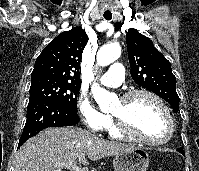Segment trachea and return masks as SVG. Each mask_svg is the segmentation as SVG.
<instances>
[{
	"label": "trachea",
	"mask_w": 199,
	"mask_h": 171,
	"mask_svg": "<svg viewBox=\"0 0 199 171\" xmlns=\"http://www.w3.org/2000/svg\"><path fill=\"white\" fill-rule=\"evenodd\" d=\"M103 16H104V18H105L106 20H111V19H112V14H111V12H105V13L103 14Z\"/></svg>",
	"instance_id": "trachea-1"
}]
</instances>
